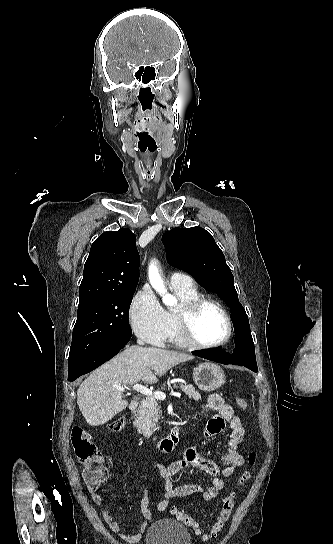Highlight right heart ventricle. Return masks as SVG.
Returning <instances> with one entry per match:
<instances>
[{"instance_id": "obj_1", "label": "right heart ventricle", "mask_w": 333, "mask_h": 544, "mask_svg": "<svg viewBox=\"0 0 333 544\" xmlns=\"http://www.w3.org/2000/svg\"><path fill=\"white\" fill-rule=\"evenodd\" d=\"M173 291L177 295V297L180 300V303L195 299L200 296L199 292L197 291L196 287H190V288H175L173 287ZM175 311L176 310H168L166 311L168 322H169V333H168V340L170 343L179 346L184 347L187 346L184 341L181 339L176 317H175Z\"/></svg>"}]
</instances>
